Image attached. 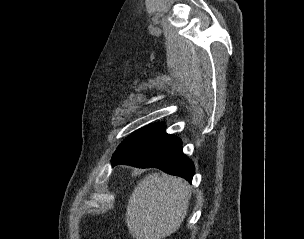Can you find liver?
Instances as JSON below:
<instances>
[{"label": "liver", "mask_w": 304, "mask_h": 239, "mask_svg": "<svg viewBox=\"0 0 304 239\" xmlns=\"http://www.w3.org/2000/svg\"><path fill=\"white\" fill-rule=\"evenodd\" d=\"M190 186L182 178L148 174L134 188L127 205L126 224L135 239H163L183 222Z\"/></svg>", "instance_id": "1"}]
</instances>
